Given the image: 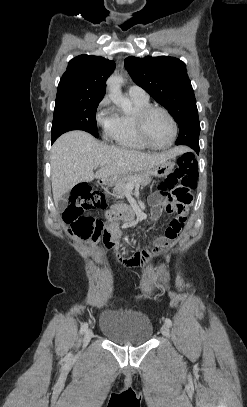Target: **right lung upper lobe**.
<instances>
[{
	"label": "right lung upper lobe",
	"mask_w": 247,
	"mask_h": 407,
	"mask_svg": "<svg viewBox=\"0 0 247 407\" xmlns=\"http://www.w3.org/2000/svg\"><path fill=\"white\" fill-rule=\"evenodd\" d=\"M115 62L100 56L71 59L57 89L56 99H102Z\"/></svg>",
	"instance_id": "obj_1"
}]
</instances>
